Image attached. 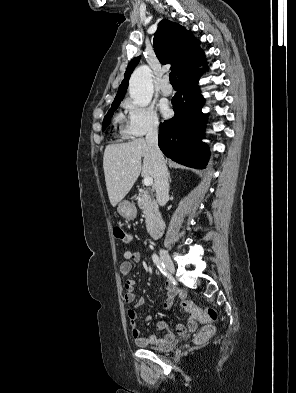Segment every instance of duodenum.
<instances>
[{
  "mask_svg": "<svg viewBox=\"0 0 296 393\" xmlns=\"http://www.w3.org/2000/svg\"><path fill=\"white\" fill-rule=\"evenodd\" d=\"M150 233H151V236H152L154 239L160 238L161 235H162V226H161V224H160V223L155 224V225L151 228Z\"/></svg>",
  "mask_w": 296,
  "mask_h": 393,
  "instance_id": "duodenum-1",
  "label": "duodenum"
}]
</instances>
